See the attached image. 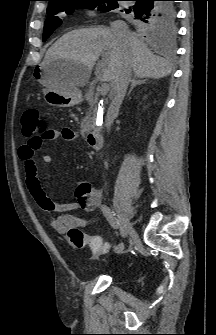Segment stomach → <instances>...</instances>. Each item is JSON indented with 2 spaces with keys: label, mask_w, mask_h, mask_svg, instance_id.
Segmentation results:
<instances>
[{
  "label": "stomach",
  "mask_w": 216,
  "mask_h": 335,
  "mask_svg": "<svg viewBox=\"0 0 216 335\" xmlns=\"http://www.w3.org/2000/svg\"><path fill=\"white\" fill-rule=\"evenodd\" d=\"M79 66L73 61L57 60L49 65H39L35 76L45 86L43 98L54 107H72L81 101V94L67 82L70 69Z\"/></svg>",
  "instance_id": "0dacf381"
}]
</instances>
